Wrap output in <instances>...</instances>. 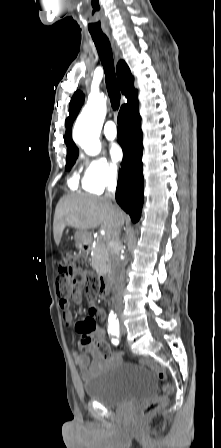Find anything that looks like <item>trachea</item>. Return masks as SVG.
Here are the masks:
<instances>
[{"mask_svg":"<svg viewBox=\"0 0 221 448\" xmlns=\"http://www.w3.org/2000/svg\"><path fill=\"white\" fill-rule=\"evenodd\" d=\"M92 39L104 68L106 87L112 108L116 110L120 105L121 94L116 79L113 54L109 39L105 35H92Z\"/></svg>","mask_w":221,"mask_h":448,"instance_id":"trachea-1","label":"trachea"}]
</instances>
